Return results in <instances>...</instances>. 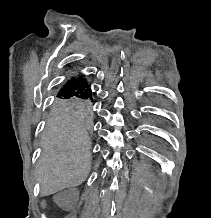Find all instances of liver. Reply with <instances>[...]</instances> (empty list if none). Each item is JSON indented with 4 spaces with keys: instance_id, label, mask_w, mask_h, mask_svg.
<instances>
[{
    "instance_id": "obj_1",
    "label": "liver",
    "mask_w": 211,
    "mask_h": 218,
    "mask_svg": "<svg viewBox=\"0 0 211 218\" xmlns=\"http://www.w3.org/2000/svg\"><path fill=\"white\" fill-rule=\"evenodd\" d=\"M43 156L38 166L43 196L79 186L89 172L90 140L71 114L50 120L43 136Z\"/></svg>"
}]
</instances>
